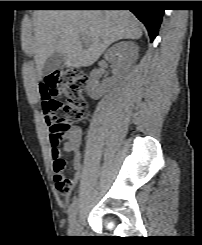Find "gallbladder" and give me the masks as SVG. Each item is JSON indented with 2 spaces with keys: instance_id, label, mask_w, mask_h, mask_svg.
<instances>
[{
  "instance_id": "1",
  "label": "gallbladder",
  "mask_w": 202,
  "mask_h": 245,
  "mask_svg": "<svg viewBox=\"0 0 202 245\" xmlns=\"http://www.w3.org/2000/svg\"><path fill=\"white\" fill-rule=\"evenodd\" d=\"M63 62H64V55L59 52H54L46 60L42 69V74L44 76L51 74L55 70L59 69Z\"/></svg>"
}]
</instances>
